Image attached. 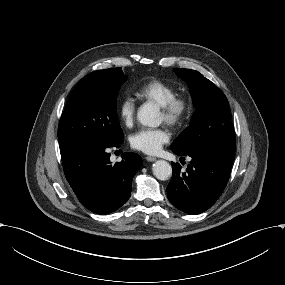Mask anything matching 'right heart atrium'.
Returning <instances> with one entry per match:
<instances>
[{"label": "right heart atrium", "instance_id": "obj_1", "mask_svg": "<svg viewBox=\"0 0 285 285\" xmlns=\"http://www.w3.org/2000/svg\"><path fill=\"white\" fill-rule=\"evenodd\" d=\"M137 109V101L131 93L125 94L119 103V114L123 122L129 126L133 123Z\"/></svg>", "mask_w": 285, "mask_h": 285}]
</instances>
